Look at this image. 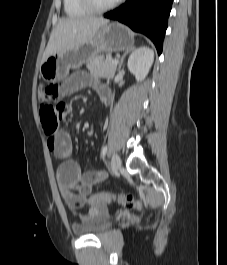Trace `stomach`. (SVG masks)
Returning a JSON list of instances; mask_svg holds the SVG:
<instances>
[{
    "instance_id": "stomach-1",
    "label": "stomach",
    "mask_w": 227,
    "mask_h": 265,
    "mask_svg": "<svg viewBox=\"0 0 227 265\" xmlns=\"http://www.w3.org/2000/svg\"><path fill=\"white\" fill-rule=\"evenodd\" d=\"M134 44L131 31L120 23L101 27L88 43L50 55L40 66L41 77L49 82L66 78L70 69H77L101 52L130 49Z\"/></svg>"
}]
</instances>
